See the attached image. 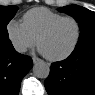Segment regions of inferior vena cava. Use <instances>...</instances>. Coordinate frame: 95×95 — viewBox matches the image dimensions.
Instances as JSON below:
<instances>
[{"mask_svg":"<svg viewBox=\"0 0 95 95\" xmlns=\"http://www.w3.org/2000/svg\"><path fill=\"white\" fill-rule=\"evenodd\" d=\"M14 48L19 53H24V52L27 51V48L24 45H22V44H15Z\"/></svg>","mask_w":95,"mask_h":95,"instance_id":"1","label":"inferior vena cava"}]
</instances>
